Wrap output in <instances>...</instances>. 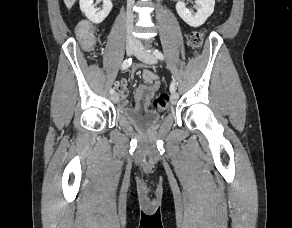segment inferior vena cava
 I'll use <instances>...</instances> for the list:
<instances>
[{"mask_svg":"<svg viewBox=\"0 0 292 228\" xmlns=\"http://www.w3.org/2000/svg\"><path fill=\"white\" fill-rule=\"evenodd\" d=\"M134 5V0H127V20H126V27H127V40H131L137 42V39L132 35L133 32V22L134 16L132 12V7Z\"/></svg>","mask_w":292,"mask_h":228,"instance_id":"602c4592","label":"inferior vena cava"}]
</instances>
